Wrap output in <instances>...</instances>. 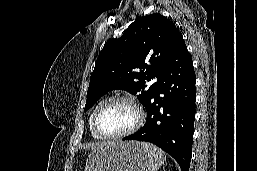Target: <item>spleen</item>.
Returning a JSON list of instances; mask_svg holds the SVG:
<instances>
[{
	"label": "spleen",
	"mask_w": 257,
	"mask_h": 171,
	"mask_svg": "<svg viewBox=\"0 0 257 171\" xmlns=\"http://www.w3.org/2000/svg\"><path fill=\"white\" fill-rule=\"evenodd\" d=\"M141 144L148 152V158H149L148 170L157 171L162 166V164H164L166 160V156L164 152L158 147L150 143L143 142Z\"/></svg>",
	"instance_id": "spleen-1"
}]
</instances>
